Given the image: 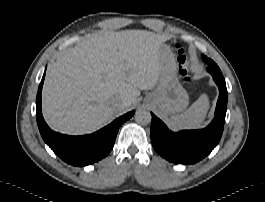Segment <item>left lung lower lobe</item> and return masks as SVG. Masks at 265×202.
Returning a JSON list of instances; mask_svg holds the SVG:
<instances>
[{
	"label": "left lung lower lobe",
	"mask_w": 265,
	"mask_h": 202,
	"mask_svg": "<svg viewBox=\"0 0 265 202\" xmlns=\"http://www.w3.org/2000/svg\"><path fill=\"white\" fill-rule=\"evenodd\" d=\"M207 63V71L219 87V98L215 116L208 127L202 130H184L173 133L152 114L151 141L153 148L165 159L173 163L193 164L207 156L219 143L223 133L227 109V88L218 66L211 59L202 56Z\"/></svg>",
	"instance_id": "obj_1"
}]
</instances>
